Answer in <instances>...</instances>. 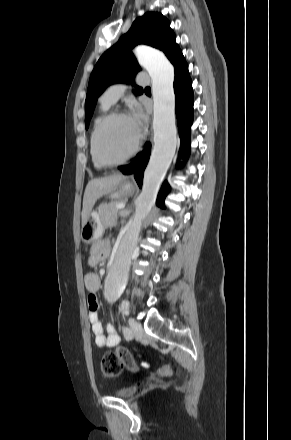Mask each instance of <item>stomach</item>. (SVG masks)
Returning <instances> with one entry per match:
<instances>
[{
  "label": "stomach",
  "instance_id": "1",
  "mask_svg": "<svg viewBox=\"0 0 291 440\" xmlns=\"http://www.w3.org/2000/svg\"><path fill=\"white\" fill-rule=\"evenodd\" d=\"M134 187L127 181H121L117 188L111 193V198L120 199L121 197L133 193ZM103 233V225L99 215L93 211L90 212L86 223L82 226L81 239L84 242H91Z\"/></svg>",
  "mask_w": 291,
  "mask_h": 440
}]
</instances>
